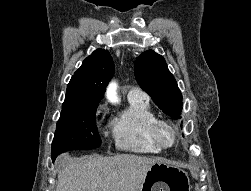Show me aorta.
I'll list each match as a JSON object with an SVG mask.
<instances>
[{"label":"aorta","instance_id":"762f6f07","mask_svg":"<svg viewBox=\"0 0 251 191\" xmlns=\"http://www.w3.org/2000/svg\"><path fill=\"white\" fill-rule=\"evenodd\" d=\"M118 86L116 82H110L107 90H106V96L108 97L109 101H119V97L117 96V90Z\"/></svg>","mask_w":251,"mask_h":191}]
</instances>
